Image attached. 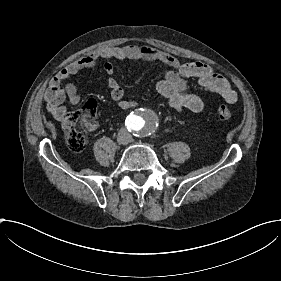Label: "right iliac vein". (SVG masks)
I'll use <instances>...</instances> for the list:
<instances>
[{
	"mask_svg": "<svg viewBox=\"0 0 281 281\" xmlns=\"http://www.w3.org/2000/svg\"><path fill=\"white\" fill-rule=\"evenodd\" d=\"M116 141L120 145L127 144L129 142V135L127 133H120L117 136Z\"/></svg>",
	"mask_w": 281,
	"mask_h": 281,
	"instance_id": "right-iliac-vein-1",
	"label": "right iliac vein"
}]
</instances>
